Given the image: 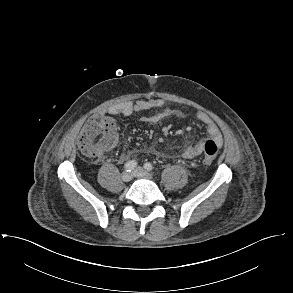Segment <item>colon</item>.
<instances>
[{
	"mask_svg": "<svg viewBox=\"0 0 293 293\" xmlns=\"http://www.w3.org/2000/svg\"><path fill=\"white\" fill-rule=\"evenodd\" d=\"M117 140V128L114 120L104 114L91 116L85 123L78 138V150L91 159H98L103 150L110 148ZM219 145L214 140L205 144L203 162L206 164L215 160Z\"/></svg>",
	"mask_w": 293,
	"mask_h": 293,
	"instance_id": "obj_1",
	"label": "colon"
}]
</instances>
